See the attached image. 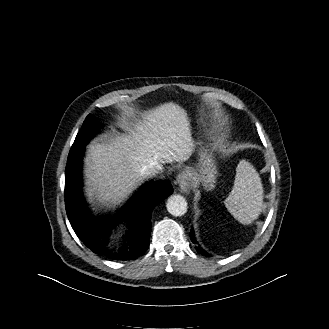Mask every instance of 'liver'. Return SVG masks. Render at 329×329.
<instances>
[{
  "mask_svg": "<svg viewBox=\"0 0 329 329\" xmlns=\"http://www.w3.org/2000/svg\"><path fill=\"white\" fill-rule=\"evenodd\" d=\"M124 122L127 133L92 143L85 158L86 192L106 206H115L144 181L141 169L153 162L186 161L194 149L186 111L173 102Z\"/></svg>",
  "mask_w": 329,
  "mask_h": 329,
  "instance_id": "obj_1",
  "label": "liver"
}]
</instances>
